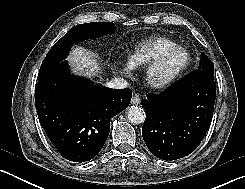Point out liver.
<instances>
[{
    "instance_id": "obj_1",
    "label": "liver",
    "mask_w": 245,
    "mask_h": 189,
    "mask_svg": "<svg viewBox=\"0 0 245 189\" xmlns=\"http://www.w3.org/2000/svg\"><path fill=\"white\" fill-rule=\"evenodd\" d=\"M68 60L78 73H83L90 77L101 78L102 67L86 49L81 47L74 48L71 51Z\"/></svg>"
}]
</instances>
